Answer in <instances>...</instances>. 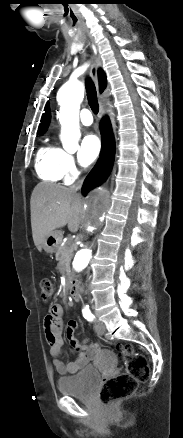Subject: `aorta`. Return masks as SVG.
I'll use <instances>...</instances> for the list:
<instances>
[{
    "label": "aorta",
    "instance_id": "762f6f07",
    "mask_svg": "<svg viewBox=\"0 0 183 438\" xmlns=\"http://www.w3.org/2000/svg\"><path fill=\"white\" fill-rule=\"evenodd\" d=\"M84 97V86L80 81L69 80L64 83L57 93V101L60 105L59 121L61 124V141L67 151L77 149L79 138V109ZM95 213L98 215L103 211L99 199L93 202ZM93 227L88 226V231ZM92 260V251L87 248L80 249L73 261L75 272L84 270Z\"/></svg>",
    "mask_w": 183,
    "mask_h": 438
}]
</instances>
